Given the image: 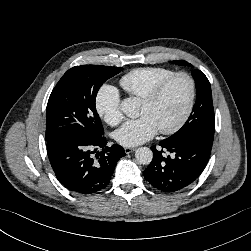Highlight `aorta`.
Returning <instances> with one entry per match:
<instances>
[{
  "mask_svg": "<svg viewBox=\"0 0 251 251\" xmlns=\"http://www.w3.org/2000/svg\"><path fill=\"white\" fill-rule=\"evenodd\" d=\"M139 103L136 98H126L121 103V111L128 117H135L138 113ZM135 157L138 163L149 165L153 159V153L148 147H140L135 152Z\"/></svg>",
  "mask_w": 251,
  "mask_h": 251,
  "instance_id": "762f6f07",
  "label": "aorta"
}]
</instances>
